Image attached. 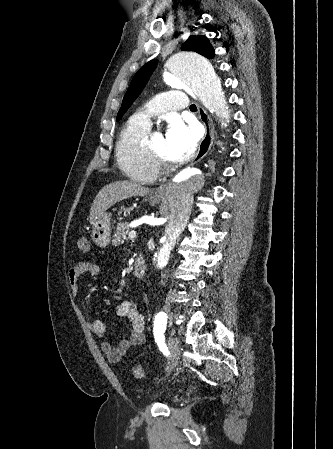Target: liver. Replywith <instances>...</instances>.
Returning <instances> with one entry per match:
<instances>
[{
	"mask_svg": "<svg viewBox=\"0 0 333 449\" xmlns=\"http://www.w3.org/2000/svg\"><path fill=\"white\" fill-rule=\"evenodd\" d=\"M149 189L133 181H116L104 186L93 201L90 223L93 224L108 208L119 201L135 196H145Z\"/></svg>",
	"mask_w": 333,
	"mask_h": 449,
	"instance_id": "1",
	"label": "liver"
}]
</instances>
